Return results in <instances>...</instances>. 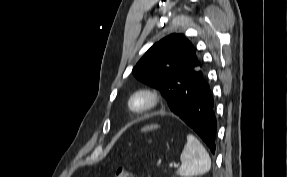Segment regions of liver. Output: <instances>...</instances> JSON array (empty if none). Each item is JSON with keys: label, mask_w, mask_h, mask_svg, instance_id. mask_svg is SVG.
I'll use <instances>...</instances> for the list:
<instances>
[{"label": "liver", "mask_w": 287, "mask_h": 177, "mask_svg": "<svg viewBox=\"0 0 287 177\" xmlns=\"http://www.w3.org/2000/svg\"><path fill=\"white\" fill-rule=\"evenodd\" d=\"M159 126L158 125H150V126H146L142 129V131H150V130H153V129H156L158 128Z\"/></svg>", "instance_id": "6515ba94"}]
</instances>
